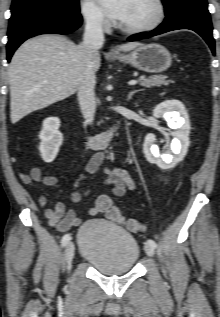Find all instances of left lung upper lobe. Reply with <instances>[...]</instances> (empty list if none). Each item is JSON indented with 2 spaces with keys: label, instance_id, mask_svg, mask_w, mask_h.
I'll return each instance as SVG.
<instances>
[{
  "label": "left lung upper lobe",
  "instance_id": "5c2ea615",
  "mask_svg": "<svg viewBox=\"0 0 220 317\" xmlns=\"http://www.w3.org/2000/svg\"><path fill=\"white\" fill-rule=\"evenodd\" d=\"M165 6V11L172 10L175 8L180 0H162Z\"/></svg>",
  "mask_w": 220,
  "mask_h": 317
}]
</instances>
